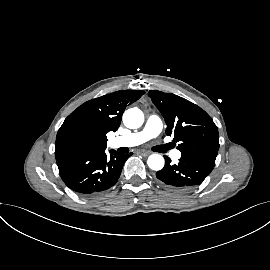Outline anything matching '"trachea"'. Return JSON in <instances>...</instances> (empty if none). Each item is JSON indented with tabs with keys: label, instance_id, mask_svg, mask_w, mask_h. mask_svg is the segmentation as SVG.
<instances>
[{
	"label": "trachea",
	"instance_id": "obj_1",
	"mask_svg": "<svg viewBox=\"0 0 270 270\" xmlns=\"http://www.w3.org/2000/svg\"><path fill=\"white\" fill-rule=\"evenodd\" d=\"M168 148H169L168 145L159 146V151H160V152H165L166 150H168Z\"/></svg>",
	"mask_w": 270,
	"mask_h": 270
}]
</instances>
